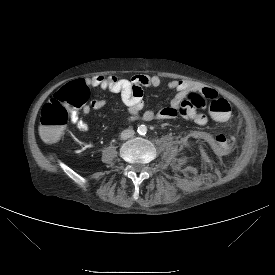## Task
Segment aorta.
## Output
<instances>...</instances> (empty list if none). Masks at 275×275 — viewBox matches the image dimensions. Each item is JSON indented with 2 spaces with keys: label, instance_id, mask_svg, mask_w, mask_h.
<instances>
[{
  "label": "aorta",
  "instance_id": "1",
  "mask_svg": "<svg viewBox=\"0 0 275 275\" xmlns=\"http://www.w3.org/2000/svg\"><path fill=\"white\" fill-rule=\"evenodd\" d=\"M137 131L139 134L144 135L147 132V127L145 125H140Z\"/></svg>",
  "mask_w": 275,
  "mask_h": 275
}]
</instances>
